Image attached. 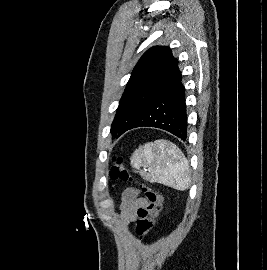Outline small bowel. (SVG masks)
<instances>
[{
    "label": "small bowel",
    "instance_id": "1",
    "mask_svg": "<svg viewBox=\"0 0 267 270\" xmlns=\"http://www.w3.org/2000/svg\"><path fill=\"white\" fill-rule=\"evenodd\" d=\"M147 205V200L139 196V192L134 188H127L122 197L121 211L119 215L122 226L129 229L130 225L136 221L140 210Z\"/></svg>",
    "mask_w": 267,
    "mask_h": 270
}]
</instances>
